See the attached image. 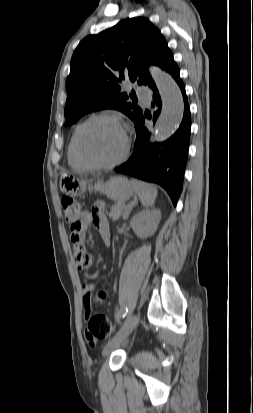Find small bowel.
Here are the masks:
<instances>
[{"instance_id": "obj_1", "label": "small bowel", "mask_w": 253, "mask_h": 413, "mask_svg": "<svg viewBox=\"0 0 253 413\" xmlns=\"http://www.w3.org/2000/svg\"><path fill=\"white\" fill-rule=\"evenodd\" d=\"M95 226L99 231L105 244L110 240V228L107 217L101 204H96L91 210H84L77 226L71 227V241L73 243V258L78 270L83 271L88 269L92 264V257L87 252L85 239L86 231L89 226ZM96 287L90 283L87 278L84 279L82 285L83 306L86 313H90L92 299ZM96 342L90 346H94Z\"/></svg>"}]
</instances>
